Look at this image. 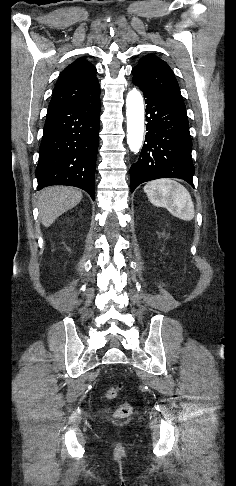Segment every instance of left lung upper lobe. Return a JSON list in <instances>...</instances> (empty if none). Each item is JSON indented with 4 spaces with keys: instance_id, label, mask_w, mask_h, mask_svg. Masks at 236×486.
<instances>
[{
    "instance_id": "1",
    "label": "left lung upper lobe",
    "mask_w": 236,
    "mask_h": 486,
    "mask_svg": "<svg viewBox=\"0 0 236 486\" xmlns=\"http://www.w3.org/2000/svg\"><path fill=\"white\" fill-rule=\"evenodd\" d=\"M133 80L149 86L158 95L186 109L180 88L169 65L154 54L143 56L132 70Z\"/></svg>"
}]
</instances>
